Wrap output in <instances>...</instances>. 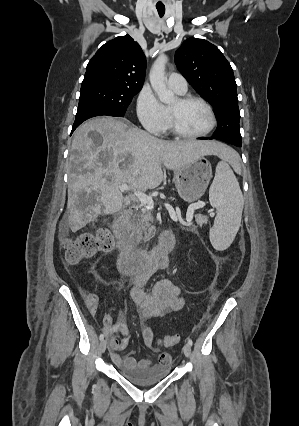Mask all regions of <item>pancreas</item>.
Instances as JSON below:
<instances>
[{
    "mask_svg": "<svg viewBox=\"0 0 299 426\" xmlns=\"http://www.w3.org/2000/svg\"><path fill=\"white\" fill-rule=\"evenodd\" d=\"M195 219L199 226L207 224L206 216L196 215ZM151 222H153L152 213L151 210L146 207L141 208L140 211L133 215L131 226L136 234L137 242H140L141 240L148 241L150 239V231L152 229ZM189 230L194 232L196 230V226L192 225Z\"/></svg>",
    "mask_w": 299,
    "mask_h": 426,
    "instance_id": "1",
    "label": "pancreas"
}]
</instances>
